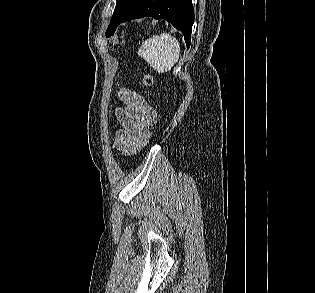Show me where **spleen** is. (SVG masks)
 Listing matches in <instances>:
<instances>
[{
  "instance_id": "1",
  "label": "spleen",
  "mask_w": 315,
  "mask_h": 293,
  "mask_svg": "<svg viewBox=\"0 0 315 293\" xmlns=\"http://www.w3.org/2000/svg\"><path fill=\"white\" fill-rule=\"evenodd\" d=\"M138 55L157 72L164 73L172 69L180 55V45L173 36L162 33L143 42Z\"/></svg>"
}]
</instances>
